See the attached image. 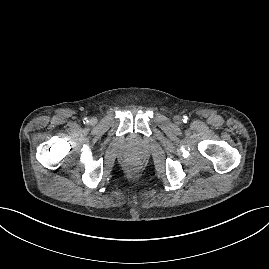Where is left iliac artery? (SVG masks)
Listing matches in <instances>:
<instances>
[{
  "instance_id": "obj_1",
  "label": "left iliac artery",
  "mask_w": 269,
  "mask_h": 269,
  "mask_svg": "<svg viewBox=\"0 0 269 269\" xmlns=\"http://www.w3.org/2000/svg\"><path fill=\"white\" fill-rule=\"evenodd\" d=\"M182 121H183L184 123H186V122L188 121V117H187V116H183Z\"/></svg>"
}]
</instances>
